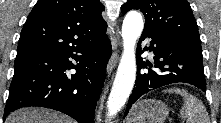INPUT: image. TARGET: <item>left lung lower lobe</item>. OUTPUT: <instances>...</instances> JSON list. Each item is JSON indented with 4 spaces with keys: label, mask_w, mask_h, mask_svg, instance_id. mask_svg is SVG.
<instances>
[{
    "label": "left lung lower lobe",
    "mask_w": 221,
    "mask_h": 123,
    "mask_svg": "<svg viewBox=\"0 0 221 123\" xmlns=\"http://www.w3.org/2000/svg\"><path fill=\"white\" fill-rule=\"evenodd\" d=\"M147 37L152 40L150 47H145V50L153 51L154 63L143 61L139 44L137 77L125 115L142 95L171 83H190L206 91L201 48L177 44L148 31H143L140 40Z\"/></svg>",
    "instance_id": "obj_1"
}]
</instances>
